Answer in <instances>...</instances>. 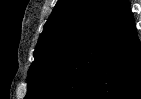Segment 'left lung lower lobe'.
<instances>
[{
  "label": "left lung lower lobe",
  "mask_w": 141,
  "mask_h": 99,
  "mask_svg": "<svg viewBox=\"0 0 141 99\" xmlns=\"http://www.w3.org/2000/svg\"><path fill=\"white\" fill-rule=\"evenodd\" d=\"M37 99H141V45L127 0Z\"/></svg>",
  "instance_id": "1"
}]
</instances>
